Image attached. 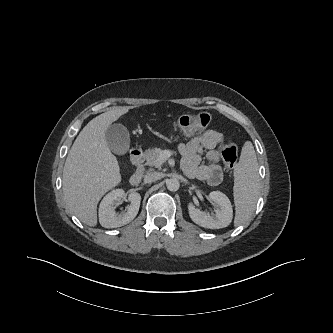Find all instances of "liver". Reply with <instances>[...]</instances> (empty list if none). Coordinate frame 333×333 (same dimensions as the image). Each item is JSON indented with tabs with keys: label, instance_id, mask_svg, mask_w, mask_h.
<instances>
[{
	"label": "liver",
	"instance_id": "liver-1",
	"mask_svg": "<svg viewBox=\"0 0 333 333\" xmlns=\"http://www.w3.org/2000/svg\"><path fill=\"white\" fill-rule=\"evenodd\" d=\"M117 107L93 118L79 133L63 168V195L67 207L84 224L96 226L101 197L121 182L117 158L105 139L107 128L128 112Z\"/></svg>",
	"mask_w": 333,
	"mask_h": 333
}]
</instances>
